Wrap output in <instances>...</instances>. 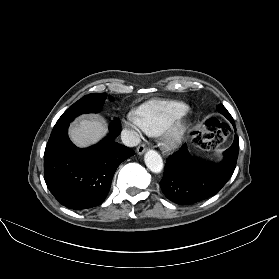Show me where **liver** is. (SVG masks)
I'll list each match as a JSON object with an SVG mask.
<instances>
[{"label":"liver","mask_w":279,"mask_h":279,"mask_svg":"<svg viewBox=\"0 0 279 279\" xmlns=\"http://www.w3.org/2000/svg\"><path fill=\"white\" fill-rule=\"evenodd\" d=\"M107 133L105 124L98 119H80L78 124L70 127L69 135L79 147L97 143Z\"/></svg>","instance_id":"1"}]
</instances>
